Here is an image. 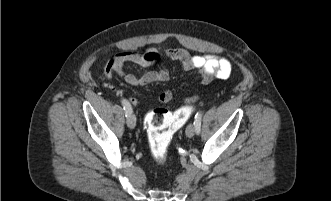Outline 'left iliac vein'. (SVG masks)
Listing matches in <instances>:
<instances>
[{"label":"left iliac vein","mask_w":331,"mask_h":201,"mask_svg":"<svg viewBox=\"0 0 331 201\" xmlns=\"http://www.w3.org/2000/svg\"><path fill=\"white\" fill-rule=\"evenodd\" d=\"M195 132H196V128H195L194 124H189L186 128V131H185L186 136L189 137V138L193 137Z\"/></svg>","instance_id":"left-iliac-vein-1"}]
</instances>
